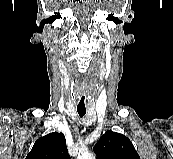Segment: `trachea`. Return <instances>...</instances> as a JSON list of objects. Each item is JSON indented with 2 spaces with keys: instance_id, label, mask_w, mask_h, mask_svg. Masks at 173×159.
<instances>
[{
  "instance_id": "1",
  "label": "trachea",
  "mask_w": 173,
  "mask_h": 159,
  "mask_svg": "<svg viewBox=\"0 0 173 159\" xmlns=\"http://www.w3.org/2000/svg\"><path fill=\"white\" fill-rule=\"evenodd\" d=\"M77 112L80 117H83L86 114V109L77 108Z\"/></svg>"
}]
</instances>
